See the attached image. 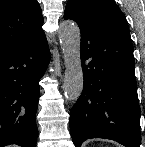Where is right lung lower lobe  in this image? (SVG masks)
Here are the masks:
<instances>
[{"label": "right lung lower lobe", "instance_id": "right-lung-lower-lobe-1", "mask_svg": "<svg viewBox=\"0 0 145 147\" xmlns=\"http://www.w3.org/2000/svg\"><path fill=\"white\" fill-rule=\"evenodd\" d=\"M50 54L45 34L0 53V147H35L39 79Z\"/></svg>", "mask_w": 145, "mask_h": 147}]
</instances>
